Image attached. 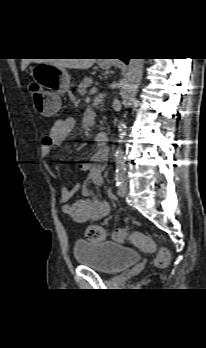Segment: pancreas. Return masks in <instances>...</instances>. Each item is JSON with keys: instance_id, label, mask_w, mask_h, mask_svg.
I'll return each instance as SVG.
<instances>
[{"instance_id": "obj_1", "label": "pancreas", "mask_w": 206, "mask_h": 348, "mask_svg": "<svg viewBox=\"0 0 206 348\" xmlns=\"http://www.w3.org/2000/svg\"><path fill=\"white\" fill-rule=\"evenodd\" d=\"M92 84V78L91 77H85L83 81L78 86V92L83 96L87 92V88L90 87Z\"/></svg>"}]
</instances>
